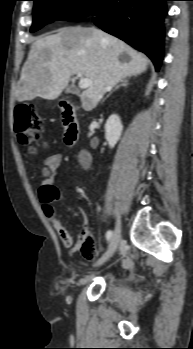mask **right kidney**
Segmentation results:
<instances>
[{"instance_id":"obj_1","label":"right kidney","mask_w":193,"mask_h":349,"mask_svg":"<svg viewBox=\"0 0 193 349\" xmlns=\"http://www.w3.org/2000/svg\"><path fill=\"white\" fill-rule=\"evenodd\" d=\"M123 126L118 115H111L105 124V138L110 148H113L119 141Z\"/></svg>"}]
</instances>
